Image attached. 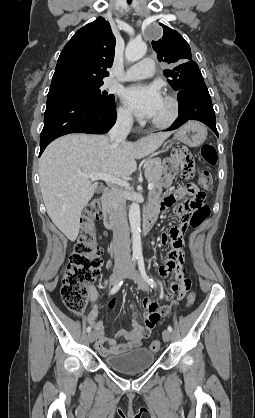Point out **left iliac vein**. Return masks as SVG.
I'll list each match as a JSON object with an SVG mask.
<instances>
[{"mask_svg": "<svg viewBox=\"0 0 255 418\" xmlns=\"http://www.w3.org/2000/svg\"><path fill=\"white\" fill-rule=\"evenodd\" d=\"M128 277L129 279H132L139 286L140 289L144 291H148L149 289L148 283L144 280V278L140 275V273L137 270L133 269ZM162 337L164 341L166 342L170 341L171 332L169 330H164L162 332Z\"/></svg>", "mask_w": 255, "mask_h": 418, "instance_id": "1", "label": "left iliac vein"}]
</instances>
